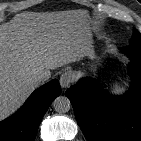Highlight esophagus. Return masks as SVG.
<instances>
[{"label": "esophagus", "mask_w": 141, "mask_h": 141, "mask_svg": "<svg viewBox=\"0 0 141 141\" xmlns=\"http://www.w3.org/2000/svg\"><path fill=\"white\" fill-rule=\"evenodd\" d=\"M73 81V73L71 71L64 72L60 77V85L63 89H66L70 86Z\"/></svg>", "instance_id": "1"}]
</instances>
